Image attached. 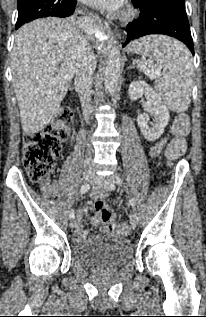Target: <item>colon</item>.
Here are the masks:
<instances>
[{
	"label": "colon",
	"mask_w": 206,
	"mask_h": 317,
	"mask_svg": "<svg viewBox=\"0 0 206 317\" xmlns=\"http://www.w3.org/2000/svg\"><path fill=\"white\" fill-rule=\"evenodd\" d=\"M72 117L71 110L64 107L60 109L56 118L40 132L28 134L24 138V166L29 178L34 182L41 183L44 189H48L50 186L48 177L56 165L63 142L69 137ZM189 129V117L185 114L176 116L172 126L175 138L166 149L168 159L175 160L185 153L186 141L184 137L189 133ZM94 211L104 222L113 220L112 212L102 200L94 203ZM112 229L120 235L129 233L128 225L122 222L112 223Z\"/></svg>",
	"instance_id": "5ec220e1"
}]
</instances>
